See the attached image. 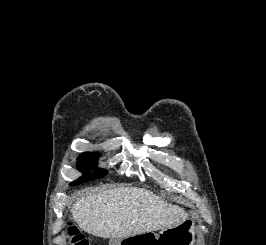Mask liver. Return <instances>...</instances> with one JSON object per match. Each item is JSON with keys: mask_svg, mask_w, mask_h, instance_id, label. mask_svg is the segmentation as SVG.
<instances>
[{"mask_svg": "<svg viewBox=\"0 0 266 245\" xmlns=\"http://www.w3.org/2000/svg\"><path fill=\"white\" fill-rule=\"evenodd\" d=\"M72 217L78 227L103 239H126L185 221L188 213L139 187H113L78 199Z\"/></svg>", "mask_w": 266, "mask_h": 245, "instance_id": "1", "label": "liver"}]
</instances>
